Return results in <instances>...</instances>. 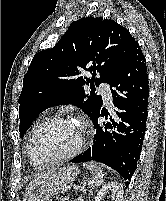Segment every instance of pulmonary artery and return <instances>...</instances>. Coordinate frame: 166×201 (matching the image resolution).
<instances>
[{"mask_svg":"<svg viewBox=\"0 0 166 201\" xmlns=\"http://www.w3.org/2000/svg\"><path fill=\"white\" fill-rule=\"evenodd\" d=\"M99 93L102 95L103 99L105 100L106 104H110L111 101V92L109 86L106 84H102L98 88Z\"/></svg>","mask_w":166,"mask_h":201,"instance_id":"e3ab8cb5","label":"pulmonary artery"}]
</instances>
